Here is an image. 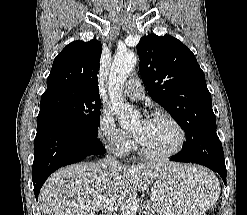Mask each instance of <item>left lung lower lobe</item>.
<instances>
[{
	"label": "left lung lower lobe",
	"mask_w": 247,
	"mask_h": 215,
	"mask_svg": "<svg viewBox=\"0 0 247 215\" xmlns=\"http://www.w3.org/2000/svg\"><path fill=\"white\" fill-rule=\"evenodd\" d=\"M195 149H182L170 160L176 162L197 163L204 165L220 174L226 184V167L224 152L218 136L195 138Z\"/></svg>",
	"instance_id": "obj_1"
}]
</instances>
